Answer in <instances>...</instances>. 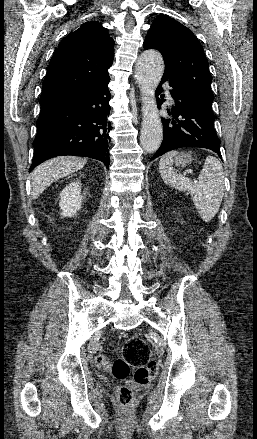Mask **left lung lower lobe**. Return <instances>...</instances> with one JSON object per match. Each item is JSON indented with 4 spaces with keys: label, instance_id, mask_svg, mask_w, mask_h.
Returning a JSON list of instances; mask_svg holds the SVG:
<instances>
[{
    "label": "left lung lower lobe",
    "instance_id": "left-lung-lower-lobe-1",
    "mask_svg": "<svg viewBox=\"0 0 257 439\" xmlns=\"http://www.w3.org/2000/svg\"><path fill=\"white\" fill-rule=\"evenodd\" d=\"M166 81L173 88L170 94L175 100V107L167 111L173 119L162 118L163 141L151 160L182 147L210 149L221 158L220 140L214 129L212 103L196 95L186 85L164 75L156 95L163 91L161 84ZM157 104L158 108H161L162 102L159 99Z\"/></svg>",
    "mask_w": 257,
    "mask_h": 439
}]
</instances>
